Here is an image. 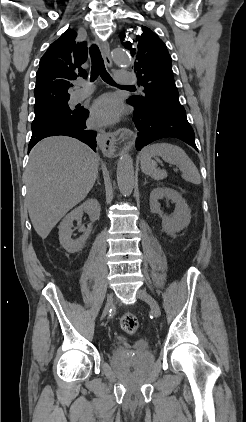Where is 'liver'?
<instances>
[{
  "label": "liver",
  "mask_w": 246,
  "mask_h": 422,
  "mask_svg": "<svg viewBox=\"0 0 246 422\" xmlns=\"http://www.w3.org/2000/svg\"><path fill=\"white\" fill-rule=\"evenodd\" d=\"M99 156L66 136L48 137L31 150L25 171L31 223L45 239L55 225L92 189Z\"/></svg>",
  "instance_id": "obj_1"
}]
</instances>
